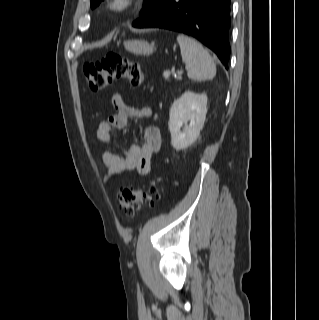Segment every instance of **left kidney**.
I'll use <instances>...</instances> for the list:
<instances>
[{
	"label": "left kidney",
	"mask_w": 319,
	"mask_h": 320,
	"mask_svg": "<svg viewBox=\"0 0 319 320\" xmlns=\"http://www.w3.org/2000/svg\"><path fill=\"white\" fill-rule=\"evenodd\" d=\"M207 100L204 93L186 91L173 102L169 113V130L171 144L177 151L186 149L199 137L206 118Z\"/></svg>",
	"instance_id": "left-kidney-1"
}]
</instances>
